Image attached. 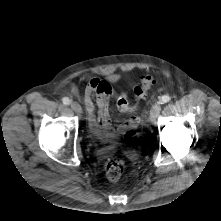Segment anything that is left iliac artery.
Wrapping results in <instances>:
<instances>
[{"label": "left iliac artery", "instance_id": "obj_1", "mask_svg": "<svg viewBox=\"0 0 221 221\" xmlns=\"http://www.w3.org/2000/svg\"><path fill=\"white\" fill-rule=\"evenodd\" d=\"M170 100H171V98L168 95H164L159 99V103L165 104V103L169 102Z\"/></svg>", "mask_w": 221, "mask_h": 221}]
</instances>
